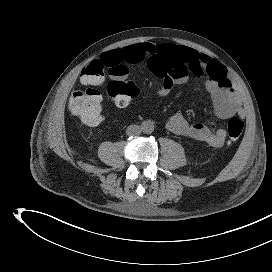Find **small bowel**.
<instances>
[{"mask_svg":"<svg viewBox=\"0 0 272 272\" xmlns=\"http://www.w3.org/2000/svg\"><path fill=\"white\" fill-rule=\"evenodd\" d=\"M98 60L108 68L122 67L127 72V65L147 60L151 71L160 78L157 88L159 96L168 95L175 86L187 82L193 76L203 82L218 118L227 119L235 114L244 116L242 98L224 65L186 46L137 43L107 51ZM167 128L174 134L214 148L222 147L227 136L226 130L217 127L213 120H209L207 124L190 123L181 113L171 116Z\"/></svg>","mask_w":272,"mask_h":272,"instance_id":"c3829d8e","label":"small bowel"}]
</instances>
